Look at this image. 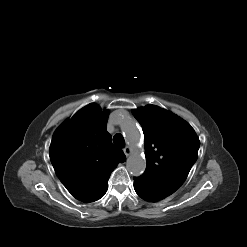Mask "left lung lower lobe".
Returning <instances> with one entry per match:
<instances>
[{
	"mask_svg": "<svg viewBox=\"0 0 247 247\" xmlns=\"http://www.w3.org/2000/svg\"><path fill=\"white\" fill-rule=\"evenodd\" d=\"M134 189L139 197L149 202H157L167 197L153 189L140 177L134 178Z\"/></svg>",
	"mask_w": 247,
	"mask_h": 247,
	"instance_id": "1",
	"label": "left lung lower lobe"
}]
</instances>
